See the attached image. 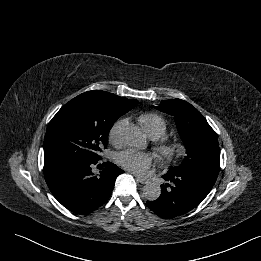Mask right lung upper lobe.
Returning <instances> with one entry per match:
<instances>
[{
	"instance_id": "obj_1",
	"label": "right lung upper lobe",
	"mask_w": 261,
	"mask_h": 261,
	"mask_svg": "<svg viewBox=\"0 0 261 261\" xmlns=\"http://www.w3.org/2000/svg\"><path fill=\"white\" fill-rule=\"evenodd\" d=\"M83 95L91 96V97L97 99L99 102H101L104 105H107L109 107H111L115 104L128 105L132 101L131 99L119 97L117 95H114L112 93L105 92V91H88V92L83 93Z\"/></svg>"
}]
</instances>
